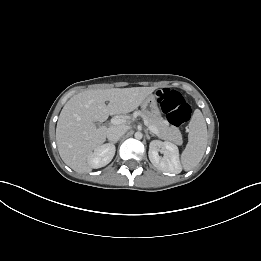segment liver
I'll return each instance as SVG.
<instances>
[{
  "mask_svg": "<svg viewBox=\"0 0 261 261\" xmlns=\"http://www.w3.org/2000/svg\"><path fill=\"white\" fill-rule=\"evenodd\" d=\"M155 87L86 90L73 96L63 107L56 127L60 157L78 173H88V158L106 140L107 128L96 127L109 115L137 109L155 91ZM106 101L109 103L106 105Z\"/></svg>",
  "mask_w": 261,
  "mask_h": 261,
  "instance_id": "1",
  "label": "liver"
}]
</instances>
